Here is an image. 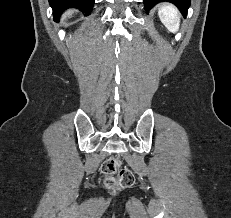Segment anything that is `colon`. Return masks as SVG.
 Returning <instances> with one entry per match:
<instances>
[{"label":"colon","mask_w":231,"mask_h":218,"mask_svg":"<svg viewBox=\"0 0 231 218\" xmlns=\"http://www.w3.org/2000/svg\"><path fill=\"white\" fill-rule=\"evenodd\" d=\"M117 157H110L101 164L103 182L108 188H127L134 184L135 177L126 167L121 168Z\"/></svg>","instance_id":"5ec220e1"}]
</instances>
